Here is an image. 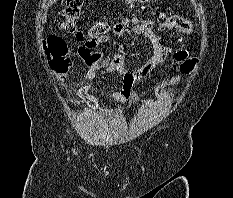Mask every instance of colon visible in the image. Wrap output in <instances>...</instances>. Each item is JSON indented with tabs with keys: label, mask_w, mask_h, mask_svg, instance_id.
<instances>
[{
	"label": "colon",
	"mask_w": 233,
	"mask_h": 198,
	"mask_svg": "<svg viewBox=\"0 0 233 198\" xmlns=\"http://www.w3.org/2000/svg\"><path fill=\"white\" fill-rule=\"evenodd\" d=\"M83 7L84 0H66L61 30L72 36L77 42L84 43V46L92 48L97 41L109 31V26L104 22H97L85 31L79 30L78 22L82 16ZM143 25L147 30H153L154 28H174L186 33L192 31V23L190 20L178 15L170 16L158 23L147 21L143 23ZM44 48L50 66L58 75L64 76L70 65V60L67 56L68 49L66 42L60 37L50 36L44 41ZM180 61V68L184 73L191 72L196 64V59L188 58L187 55H184Z\"/></svg>",
	"instance_id": "colon-1"
}]
</instances>
